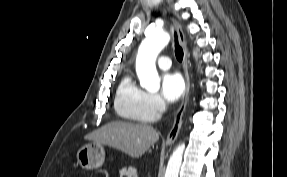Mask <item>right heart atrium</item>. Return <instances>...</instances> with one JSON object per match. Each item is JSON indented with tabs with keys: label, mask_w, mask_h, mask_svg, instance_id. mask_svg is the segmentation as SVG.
Segmentation results:
<instances>
[{
	"label": "right heart atrium",
	"mask_w": 287,
	"mask_h": 177,
	"mask_svg": "<svg viewBox=\"0 0 287 177\" xmlns=\"http://www.w3.org/2000/svg\"><path fill=\"white\" fill-rule=\"evenodd\" d=\"M147 105L154 117H158L164 108L163 102L157 94H148Z\"/></svg>",
	"instance_id": "d8ad5b80"
}]
</instances>
